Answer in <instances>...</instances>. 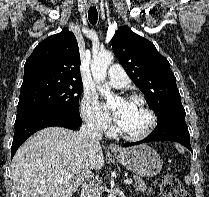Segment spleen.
Wrapping results in <instances>:
<instances>
[{"mask_svg":"<svg viewBox=\"0 0 209 197\" xmlns=\"http://www.w3.org/2000/svg\"><path fill=\"white\" fill-rule=\"evenodd\" d=\"M185 182H186V184H188V185L190 184L191 178H190L189 175L185 176Z\"/></svg>","mask_w":209,"mask_h":197,"instance_id":"3e777b00","label":"spleen"}]
</instances>
